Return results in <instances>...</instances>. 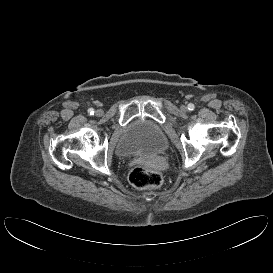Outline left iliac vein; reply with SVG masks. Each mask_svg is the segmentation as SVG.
<instances>
[{"label":"left iliac vein","mask_w":273,"mask_h":273,"mask_svg":"<svg viewBox=\"0 0 273 273\" xmlns=\"http://www.w3.org/2000/svg\"><path fill=\"white\" fill-rule=\"evenodd\" d=\"M181 110L183 111V112H186L187 111V107L186 106H181Z\"/></svg>","instance_id":"1"}]
</instances>
